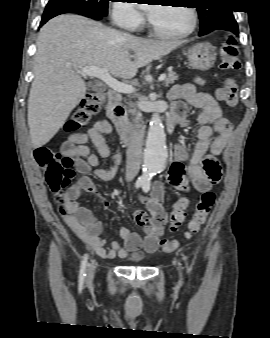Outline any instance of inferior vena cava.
<instances>
[{
  "mask_svg": "<svg viewBox=\"0 0 270 338\" xmlns=\"http://www.w3.org/2000/svg\"><path fill=\"white\" fill-rule=\"evenodd\" d=\"M142 138L135 127L128 133L126 179H133L140 170L142 159Z\"/></svg>",
  "mask_w": 270,
  "mask_h": 338,
  "instance_id": "1",
  "label": "inferior vena cava"
}]
</instances>
